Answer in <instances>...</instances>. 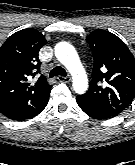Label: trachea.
<instances>
[{
    "mask_svg": "<svg viewBox=\"0 0 135 165\" xmlns=\"http://www.w3.org/2000/svg\"><path fill=\"white\" fill-rule=\"evenodd\" d=\"M58 75L65 77L67 75V73H66L65 69H63L60 66H57V67L53 68L49 74L50 77H54V76H58Z\"/></svg>",
    "mask_w": 135,
    "mask_h": 165,
    "instance_id": "1",
    "label": "trachea"
}]
</instances>
